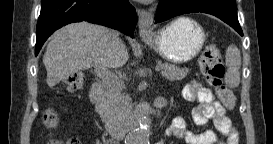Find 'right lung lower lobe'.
I'll return each mask as SVG.
<instances>
[{
    "label": "right lung lower lobe",
    "instance_id": "1",
    "mask_svg": "<svg viewBox=\"0 0 273 144\" xmlns=\"http://www.w3.org/2000/svg\"><path fill=\"white\" fill-rule=\"evenodd\" d=\"M81 21L108 26L133 37L137 14L128 0H42L35 55L55 30Z\"/></svg>",
    "mask_w": 273,
    "mask_h": 144
}]
</instances>
